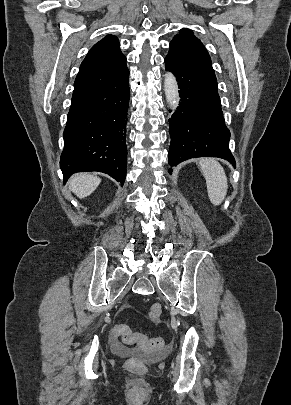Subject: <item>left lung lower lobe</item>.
Returning a JSON list of instances; mask_svg holds the SVG:
<instances>
[{
	"mask_svg": "<svg viewBox=\"0 0 291 405\" xmlns=\"http://www.w3.org/2000/svg\"><path fill=\"white\" fill-rule=\"evenodd\" d=\"M165 64L177 78L181 97L169 119V165L207 156L225 159L235 166L229 150L230 131L224 123L217 80L206 48L173 38Z\"/></svg>",
	"mask_w": 291,
	"mask_h": 405,
	"instance_id": "1",
	"label": "left lung lower lobe"
}]
</instances>
